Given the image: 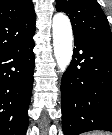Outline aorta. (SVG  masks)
<instances>
[{"instance_id":"1","label":"aorta","mask_w":112,"mask_h":135,"mask_svg":"<svg viewBox=\"0 0 112 135\" xmlns=\"http://www.w3.org/2000/svg\"><path fill=\"white\" fill-rule=\"evenodd\" d=\"M54 56L59 69L64 72L69 66L73 54V34L69 18L63 13L53 17Z\"/></svg>"}]
</instances>
